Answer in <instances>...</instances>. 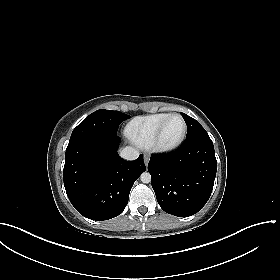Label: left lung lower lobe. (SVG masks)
<instances>
[{
    "label": "left lung lower lobe",
    "mask_w": 280,
    "mask_h": 280,
    "mask_svg": "<svg viewBox=\"0 0 280 280\" xmlns=\"http://www.w3.org/2000/svg\"><path fill=\"white\" fill-rule=\"evenodd\" d=\"M148 171L161 208L175 216H191L203 208L213 189V142L208 135L186 138L174 152L152 155Z\"/></svg>",
    "instance_id": "0a47b994"
}]
</instances>
